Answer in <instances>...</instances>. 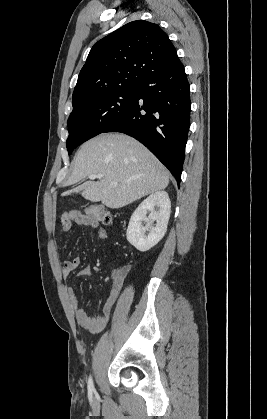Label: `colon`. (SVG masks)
Listing matches in <instances>:
<instances>
[{"instance_id":"5ec220e1","label":"colon","mask_w":267,"mask_h":419,"mask_svg":"<svg viewBox=\"0 0 267 419\" xmlns=\"http://www.w3.org/2000/svg\"><path fill=\"white\" fill-rule=\"evenodd\" d=\"M85 217L95 220L98 223L110 224L113 221L112 213L99 205H89L81 212Z\"/></svg>"}]
</instances>
